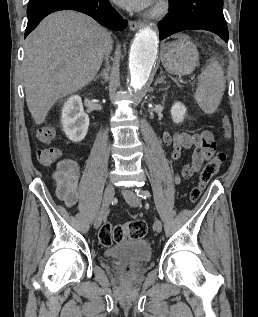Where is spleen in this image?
Wrapping results in <instances>:
<instances>
[{
  "instance_id": "3e777b00",
  "label": "spleen",
  "mask_w": 258,
  "mask_h": 317,
  "mask_svg": "<svg viewBox=\"0 0 258 317\" xmlns=\"http://www.w3.org/2000/svg\"><path fill=\"white\" fill-rule=\"evenodd\" d=\"M200 84L196 88L195 100L200 108L212 114L218 108L225 90L224 72L218 60L212 58L199 74Z\"/></svg>"
}]
</instances>
